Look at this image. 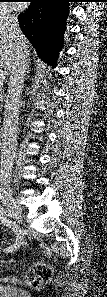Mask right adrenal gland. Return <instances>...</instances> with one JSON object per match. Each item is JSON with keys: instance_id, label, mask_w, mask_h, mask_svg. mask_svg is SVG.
<instances>
[{"instance_id": "2a0ac1e0", "label": "right adrenal gland", "mask_w": 107, "mask_h": 297, "mask_svg": "<svg viewBox=\"0 0 107 297\" xmlns=\"http://www.w3.org/2000/svg\"><path fill=\"white\" fill-rule=\"evenodd\" d=\"M27 74H29V70L27 71ZM29 76L27 75V78H28Z\"/></svg>"}]
</instances>
